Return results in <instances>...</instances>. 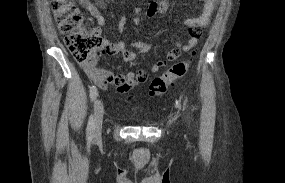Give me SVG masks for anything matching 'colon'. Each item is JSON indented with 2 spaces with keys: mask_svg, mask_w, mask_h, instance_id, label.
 Masks as SVG:
<instances>
[{
  "mask_svg": "<svg viewBox=\"0 0 285 183\" xmlns=\"http://www.w3.org/2000/svg\"><path fill=\"white\" fill-rule=\"evenodd\" d=\"M58 29L66 33L65 44L73 57L82 62L90 60L102 45L95 28L86 27V17L73 0H51ZM192 59L175 63L166 73L155 77L150 85L152 95L166 94L177 80L190 70Z\"/></svg>",
  "mask_w": 285,
  "mask_h": 183,
  "instance_id": "colon-1",
  "label": "colon"
}]
</instances>
